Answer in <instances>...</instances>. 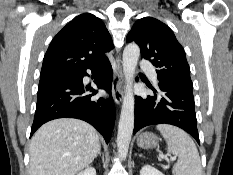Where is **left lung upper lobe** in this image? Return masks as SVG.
I'll return each mask as SVG.
<instances>
[{
  "mask_svg": "<svg viewBox=\"0 0 233 175\" xmlns=\"http://www.w3.org/2000/svg\"><path fill=\"white\" fill-rule=\"evenodd\" d=\"M126 41L139 45L142 57L157 68L159 81L193 86L184 49L164 23L152 17L141 18L133 25Z\"/></svg>",
  "mask_w": 233,
  "mask_h": 175,
  "instance_id": "1",
  "label": "left lung upper lobe"
}]
</instances>
